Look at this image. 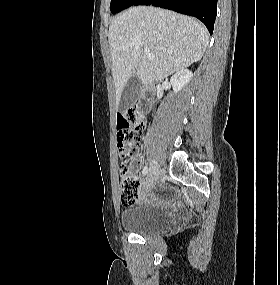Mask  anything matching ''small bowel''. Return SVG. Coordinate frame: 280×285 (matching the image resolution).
<instances>
[{
  "label": "small bowel",
  "instance_id": "obj_1",
  "mask_svg": "<svg viewBox=\"0 0 280 285\" xmlns=\"http://www.w3.org/2000/svg\"><path fill=\"white\" fill-rule=\"evenodd\" d=\"M140 163H141L140 160L136 161L137 165H140ZM135 178H136V180L139 181V178L137 176H135ZM163 190H164L163 188H160L161 192ZM138 196H139L140 200H145V201H148V202H150L152 204L160 202V197L158 195H155V194H152V193H146L142 188L139 190Z\"/></svg>",
  "mask_w": 280,
  "mask_h": 285
}]
</instances>
